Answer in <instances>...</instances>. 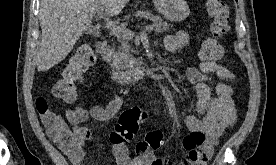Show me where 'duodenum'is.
Instances as JSON below:
<instances>
[{"label": "duodenum", "mask_w": 276, "mask_h": 165, "mask_svg": "<svg viewBox=\"0 0 276 165\" xmlns=\"http://www.w3.org/2000/svg\"><path fill=\"white\" fill-rule=\"evenodd\" d=\"M96 50L99 54L104 55L108 50V43L106 39H100L96 44ZM153 66L136 67L128 71H115L114 78L118 82H125L127 80H139L147 77L154 71Z\"/></svg>", "instance_id": "410a0bca"}]
</instances>
